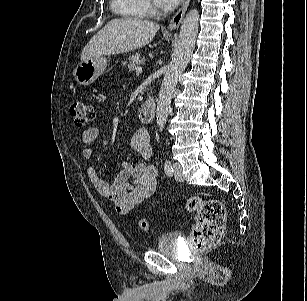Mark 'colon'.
I'll list each match as a JSON object with an SVG mask.
<instances>
[{"instance_id":"1","label":"colon","mask_w":307,"mask_h":301,"mask_svg":"<svg viewBox=\"0 0 307 301\" xmlns=\"http://www.w3.org/2000/svg\"><path fill=\"white\" fill-rule=\"evenodd\" d=\"M70 113L78 127L86 126L95 118L93 105L82 100L70 103ZM186 207L196 214V223L191 230L192 249L200 252L216 245L224 231L226 211L223 203L214 198L202 200L192 197L187 201ZM138 227L141 231H148L150 228L148 220L139 219Z\"/></svg>"}]
</instances>
